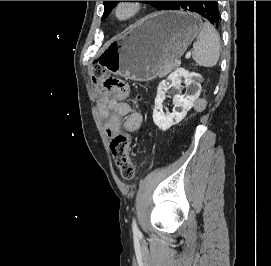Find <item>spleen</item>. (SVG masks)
Wrapping results in <instances>:
<instances>
[{"mask_svg": "<svg viewBox=\"0 0 271 266\" xmlns=\"http://www.w3.org/2000/svg\"><path fill=\"white\" fill-rule=\"evenodd\" d=\"M220 36L208 22L201 25L198 40L193 44L192 57L197 65L213 67L220 57Z\"/></svg>", "mask_w": 271, "mask_h": 266, "instance_id": "1", "label": "spleen"}]
</instances>
